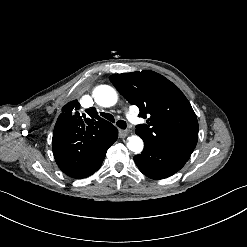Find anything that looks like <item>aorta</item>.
<instances>
[{
  "label": "aorta",
  "mask_w": 247,
  "mask_h": 247,
  "mask_svg": "<svg viewBox=\"0 0 247 247\" xmlns=\"http://www.w3.org/2000/svg\"><path fill=\"white\" fill-rule=\"evenodd\" d=\"M95 102L102 107H111L117 103V92L108 85H100L93 92ZM127 148L135 154L141 153L144 147L142 139L137 135L127 138Z\"/></svg>",
  "instance_id": "aorta-1"
}]
</instances>
